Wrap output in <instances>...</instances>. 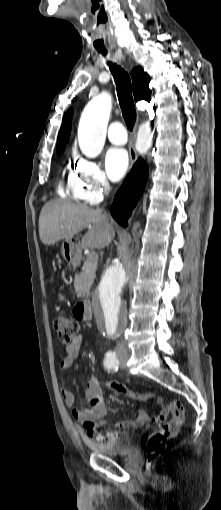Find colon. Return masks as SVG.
I'll use <instances>...</instances> for the list:
<instances>
[{
    "mask_svg": "<svg viewBox=\"0 0 221 510\" xmlns=\"http://www.w3.org/2000/svg\"><path fill=\"white\" fill-rule=\"evenodd\" d=\"M52 325L57 333L59 341L63 344L71 343L79 328L78 322L65 314H57L53 318ZM108 386L115 392L129 395L141 401L155 400L154 396L151 394L133 391L115 381L109 382ZM95 401L96 399H91L90 403H94ZM163 405L164 411L159 413L158 419L160 422L164 421V423L161 428L148 439L146 444V457L149 464L166 449L167 442L177 436L185 418L184 406L180 401H163ZM168 414H171V419L165 421ZM102 437V434H100L99 438Z\"/></svg>",
    "mask_w": 221,
    "mask_h": 510,
    "instance_id": "1",
    "label": "colon"
}]
</instances>
